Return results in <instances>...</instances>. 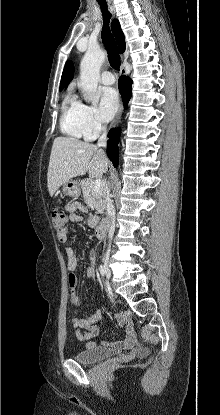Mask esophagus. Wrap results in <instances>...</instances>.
Here are the masks:
<instances>
[{
  "label": "esophagus",
  "mask_w": 220,
  "mask_h": 415,
  "mask_svg": "<svg viewBox=\"0 0 220 415\" xmlns=\"http://www.w3.org/2000/svg\"><path fill=\"white\" fill-rule=\"evenodd\" d=\"M121 58L123 59V56H121ZM121 74H124V68L123 67L121 68ZM122 111H123V103L121 101L120 102V105H119L118 112H117V114H116V116H115V118H114V120L112 122V127H114L120 121L121 115H122Z\"/></svg>",
  "instance_id": "obj_1"
}]
</instances>
